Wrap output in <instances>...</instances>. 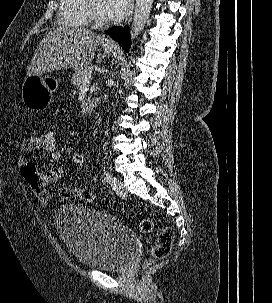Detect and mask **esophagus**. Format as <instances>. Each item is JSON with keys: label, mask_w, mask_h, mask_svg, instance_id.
Here are the masks:
<instances>
[{"label": "esophagus", "mask_w": 272, "mask_h": 303, "mask_svg": "<svg viewBox=\"0 0 272 303\" xmlns=\"http://www.w3.org/2000/svg\"><path fill=\"white\" fill-rule=\"evenodd\" d=\"M106 45L109 46V47H114V46H116V44H115L114 41H108V42L106 43Z\"/></svg>", "instance_id": "34e87169"}]
</instances>
